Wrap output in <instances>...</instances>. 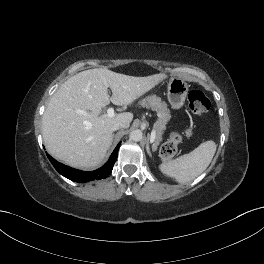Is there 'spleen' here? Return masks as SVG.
<instances>
[{
  "mask_svg": "<svg viewBox=\"0 0 264 264\" xmlns=\"http://www.w3.org/2000/svg\"><path fill=\"white\" fill-rule=\"evenodd\" d=\"M216 143L207 140L188 154L163 162L159 169L163 174L184 184L202 174L211 163L216 152Z\"/></svg>",
  "mask_w": 264,
  "mask_h": 264,
  "instance_id": "obj_1",
  "label": "spleen"
}]
</instances>
